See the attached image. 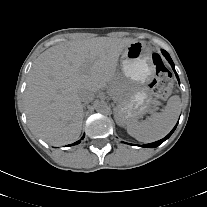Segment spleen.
<instances>
[{
    "mask_svg": "<svg viewBox=\"0 0 207 207\" xmlns=\"http://www.w3.org/2000/svg\"><path fill=\"white\" fill-rule=\"evenodd\" d=\"M181 101L179 96L169 98L161 112L152 114L148 119L139 121L136 118L126 123L127 133L144 143L157 141L166 136L177 122Z\"/></svg>",
    "mask_w": 207,
    "mask_h": 207,
    "instance_id": "1",
    "label": "spleen"
}]
</instances>
